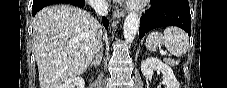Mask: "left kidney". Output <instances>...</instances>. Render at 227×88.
Wrapping results in <instances>:
<instances>
[{
	"instance_id": "obj_1",
	"label": "left kidney",
	"mask_w": 227,
	"mask_h": 88,
	"mask_svg": "<svg viewBox=\"0 0 227 88\" xmlns=\"http://www.w3.org/2000/svg\"><path fill=\"white\" fill-rule=\"evenodd\" d=\"M154 70L160 71L163 74L162 84L165 85V88H179V82L176 80L173 70L168 64L155 57H148L142 61L141 71L146 78L152 77Z\"/></svg>"
}]
</instances>
